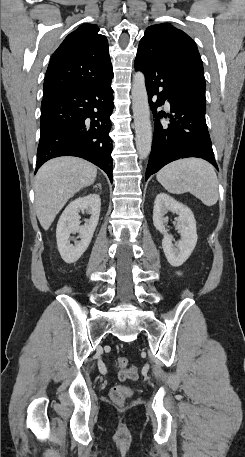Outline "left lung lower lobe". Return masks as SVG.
<instances>
[{
    "label": "left lung lower lobe",
    "instance_id": "1",
    "mask_svg": "<svg viewBox=\"0 0 245 457\" xmlns=\"http://www.w3.org/2000/svg\"><path fill=\"white\" fill-rule=\"evenodd\" d=\"M135 68L145 75L149 104L156 117L145 180L166 164L187 157L205 159L218 169L205 120L206 101L190 96L185 82L161 60L137 54ZM165 100L172 114L156 110ZM162 116L169 117L170 123L162 125Z\"/></svg>",
    "mask_w": 245,
    "mask_h": 457
}]
</instances>
